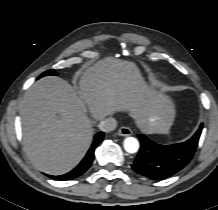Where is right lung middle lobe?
<instances>
[{
	"label": "right lung middle lobe",
	"mask_w": 218,
	"mask_h": 210,
	"mask_svg": "<svg viewBox=\"0 0 218 210\" xmlns=\"http://www.w3.org/2000/svg\"><path fill=\"white\" fill-rule=\"evenodd\" d=\"M48 75H57V73L54 70H48L44 72L40 77L48 76Z\"/></svg>",
	"instance_id": "obj_1"
}]
</instances>
